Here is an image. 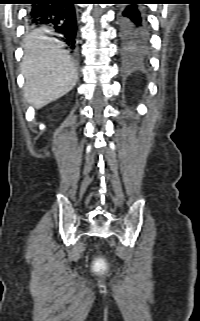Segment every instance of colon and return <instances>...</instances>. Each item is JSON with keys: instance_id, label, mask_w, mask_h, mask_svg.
I'll return each mask as SVG.
<instances>
[{"instance_id": "1", "label": "colon", "mask_w": 200, "mask_h": 321, "mask_svg": "<svg viewBox=\"0 0 200 321\" xmlns=\"http://www.w3.org/2000/svg\"><path fill=\"white\" fill-rule=\"evenodd\" d=\"M106 268V265L104 262L100 261L98 264H97V270L98 271H104Z\"/></svg>"}]
</instances>
